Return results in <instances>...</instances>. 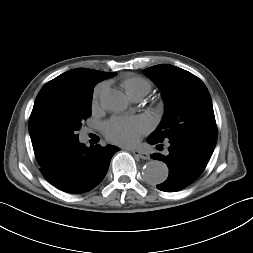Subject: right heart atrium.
Instances as JSON below:
<instances>
[{
	"instance_id": "d8ad5b80",
	"label": "right heart atrium",
	"mask_w": 253,
	"mask_h": 253,
	"mask_svg": "<svg viewBox=\"0 0 253 253\" xmlns=\"http://www.w3.org/2000/svg\"><path fill=\"white\" fill-rule=\"evenodd\" d=\"M104 89V85H100L96 88L95 92H94V97H93V103L96 104L98 101V98L100 96V94L102 93Z\"/></svg>"
}]
</instances>
